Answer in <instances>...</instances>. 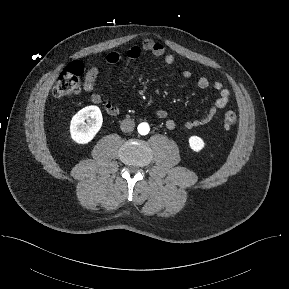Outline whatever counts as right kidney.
<instances>
[{"mask_svg":"<svg viewBox=\"0 0 289 289\" xmlns=\"http://www.w3.org/2000/svg\"><path fill=\"white\" fill-rule=\"evenodd\" d=\"M103 118L98 106H87L78 111L71 120L70 134L78 144L89 143L102 126Z\"/></svg>","mask_w":289,"mask_h":289,"instance_id":"right-kidney-1","label":"right kidney"}]
</instances>
